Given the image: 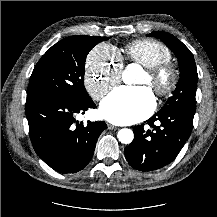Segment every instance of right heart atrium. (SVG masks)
Masks as SVG:
<instances>
[{"label":"right heart atrium","instance_id":"d8ad5b80","mask_svg":"<svg viewBox=\"0 0 217 217\" xmlns=\"http://www.w3.org/2000/svg\"><path fill=\"white\" fill-rule=\"evenodd\" d=\"M122 68L121 59L113 46H95L87 56L84 73V85L90 96L96 101L101 100L119 83Z\"/></svg>","mask_w":217,"mask_h":217}]
</instances>
